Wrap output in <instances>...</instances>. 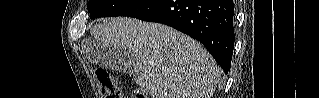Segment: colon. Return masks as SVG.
<instances>
[{"instance_id": "colon-1", "label": "colon", "mask_w": 319, "mask_h": 98, "mask_svg": "<svg viewBox=\"0 0 319 98\" xmlns=\"http://www.w3.org/2000/svg\"><path fill=\"white\" fill-rule=\"evenodd\" d=\"M95 76L101 86L104 98H124L116 77L109 74L105 69L97 67L94 70ZM146 92L143 89H136L132 98H146Z\"/></svg>"}]
</instances>
